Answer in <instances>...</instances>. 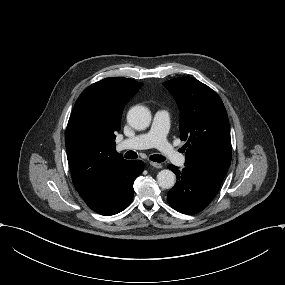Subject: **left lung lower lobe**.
Here are the masks:
<instances>
[{
	"instance_id": "obj_1",
	"label": "left lung lower lobe",
	"mask_w": 285,
	"mask_h": 285,
	"mask_svg": "<svg viewBox=\"0 0 285 285\" xmlns=\"http://www.w3.org/2000/svg\"><path fill=\"white\" fill-rule=\"evenodd\" d=\"M176 177V185L168 192L172 208L184 214H196L206 208L220 189V184L206 179L188 168L179 170L169 165Z\"/></svg>"
}]
</instances>
